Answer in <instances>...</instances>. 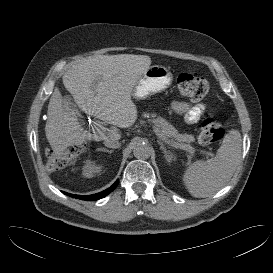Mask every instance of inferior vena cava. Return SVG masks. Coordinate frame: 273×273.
<instances>
[{"instance_id": "1", "label": "inferior vena cava", "mask_w": 273, "mask_h": 273, "mask_svg": "<svg viewBox=\"0 0 273 273\" xmlns=\"http://www.w3.org/2000/svg\"><path fill=\"white\" fill-rule=\"evenodd\" d=\"M104 145L109 148H119L121 146V143L114 138H106L104 140Z\"/></svg>"}]
</instances>
